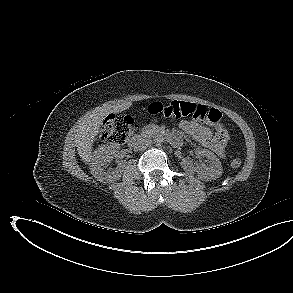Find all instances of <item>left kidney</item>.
<instances>
[{
  "instance_id": "left-kidney-1",
  "label": "left kidney",
  "mask_w": 293,
  "mask_h": 293,
  "mask_svg": "<svg viewBox=\"0 0 293 293\" xmlns=\"http://www.w3.org/2000/svg\"><path fill=\"white\" fill-rule=\"evenodd\" d=\"M196 153L206 157L209 161V166H206L205 164L194 166L189 158H183L181 166L184 170L190 174L197 172L199 178L203 181L215 180L222 175L223 169L221 162L213 152L207 149H197Z\"/></svg>"
}]
</instances>
